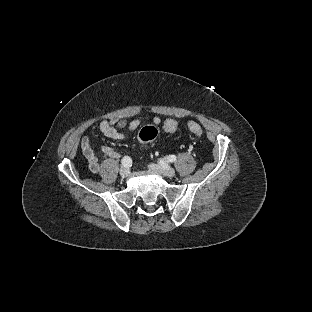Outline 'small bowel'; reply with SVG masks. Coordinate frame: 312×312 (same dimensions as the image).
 Wrapping results in <instances>:
<instances>
[{"label":"small bowel","instance_id":"obj_1","mask_svg":"<svg viewBox=\"0 0 312 312\" xmlns=\"http://www.w3.org/2000/svg\"><path fill=\"white\" fill-rule=\"evenodd\" d=\"M153 123L159 125L161 119L156 116L153 118ZM140 124L141 122L138 119L129 122L123 119L103 120L99 125V129L101 133L108 138L123 140L126 138V134L122 132L123 129H127L129 132H134L139 128ZM80 148L88 161L90 171L95 174L98 173L100 170L99 156L92 149L90 139L87 136L81 138ZM102 153L111 158L119 157V153L110 146H103Z\"/></svg>","mask_w":312,"mask_h":312}]
</instances>
